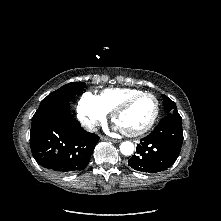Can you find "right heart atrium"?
Listing matches in <instances>:
<instances>
[{
  "instance_id": "d8ad5b80",
  "label": "right heart atrium",
  "mask_w": 221,
  "mask_h": 221,
  "mask_svg": "<svg viewBox=\"0 0 221 221\" xmlns=\"http://www.w3.org/2000/svg\"><path fill=\"white\" fill-rule=\"evenodd\" d=\"M77 114L82 125L87 130L93 131L106 119L108 112L102 106L98 96L85 92L78 102Z\"/></svg>"
}]
</instances>
